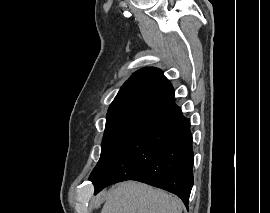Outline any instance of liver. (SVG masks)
Masks as SVG:
<instances>
[{
    "instance_id": "liver-1",
    "label": "liver",
    "mask_w": 270,
    "mask_h": 213,
    "mask_svg": "<svg viewBox=\"0 0 270 213\" xmlns=\"http://www.w3.org/2000/svg\"><path fill=\"white\" fill-rule=\"evenodd\" d=\"M106 201L101 213H181L182 202L175 196L145 184L123 182L101 192L95 206Z\"/></svg>"
}]
</instances>
